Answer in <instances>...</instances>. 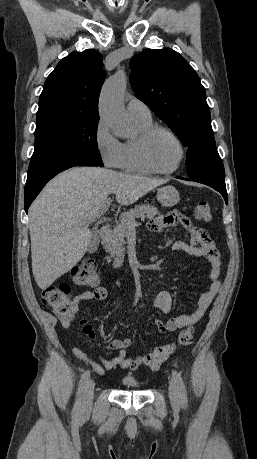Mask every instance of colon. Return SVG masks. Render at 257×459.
<instances>
[{
	"label": "colon",
	"instance_id": "1",
	"mask_svg": "<svg viewBox=\"0 0 257 459\" xmlns=\"http://www.w3.org/2000/svg\"><path fill=\"white\" fill-rule=\"evenodd\" d=\"M194 214L200 221H209L212 217V211L208 202L200 201L194 209ZM72 277L78 285L94 286L99 280L95 262L90 259L82 260L73 269ZM42 301L61 318H70L77 310L76 303L70 297V286L66 283L44 288ZM193 338V330L191 328L184 329L179 333L174 343L157 347L149 353L145 357L144 363L151 369H158L177 348L190 345Z\"/></svg>",
	"mask_w": 257,
	"mask_h": 459
}]
</instances>
